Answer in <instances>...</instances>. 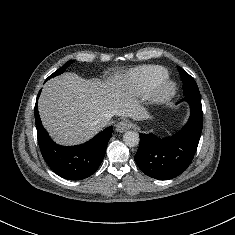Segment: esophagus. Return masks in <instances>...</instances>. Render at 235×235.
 Here are the masks:
<instances>
[{
    "mask_svg": "<svg viewBox=\"0 0 235 235\" xmlns=\"http://www.w3.org/2000/svg\"><path fill=\"white\" fill-rule=\"evenodd\" d=\"M131 128V123L128 120H122L116 125L117 132H125Z\"/></svg>",
    "mask_w": 235,
    "mask_h": 235,
    "instance_id": "obj_1",
    "label": "esophagus"
}]
</instances>
